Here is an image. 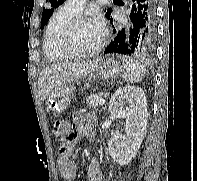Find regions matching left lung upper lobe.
<instances>
[{
  "label": "left lung upper lobe",
  "instance_id": "1",
  "mask_svg": "<svg viewBox=\"0 0 197 181\" xmlns=\"http://www.w3.org/2000/svg\"><path fill=\"white\" fill-rule=\"evenodd\" d=\"M48 3H50V6L47 8H43V14H42V21H41V26H43L48 22L50 19L54 8L58 7L62 3H64L65 0H46ZM106 11V18L111 20L112 18L110 17V14L112 12L111 8H108Z\"/></svg>",
  "mask_w": 197,
  "mask_h": 181
}]
</instances>
